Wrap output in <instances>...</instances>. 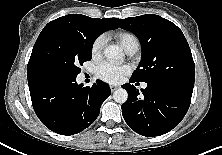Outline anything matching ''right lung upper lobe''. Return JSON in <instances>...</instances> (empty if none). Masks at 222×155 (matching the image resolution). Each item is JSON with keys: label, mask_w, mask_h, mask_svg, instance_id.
<instances>
[{"label": "right lung upper lobe", "mask_w": 222, "mask_h": 155, "mask_svg": "<svg viewBox=\"0 0 222 155\" xmlns=\"http://www.w3.org/2000/svg\"><path fill=\"white\" fill-rule=\"evenodd\" d=\"M68 20H75V21H93L95 22L103 32L109 29H115L118 27L117 25V18H90L85 15L81 14H70L60 18H57L51 22H49L46 26L51 24L61 22V21H68ZM27 78L29 84L30 95H41L45 97L52 86L53 79L49 76L41 73L33 63L32 59L29 60L28 67H27Z\"/></svg>", "instance_id": "obj_1"}]
</instances>
